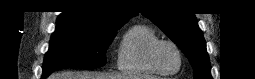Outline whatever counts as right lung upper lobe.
<instances>
[{
    "mask_svg": "<svg viewBox=\"0 0 255 79\" xmlns=\"http://www.w3.org/2000/svg\"><path fill=\"white\" fill-rule=\"evenodd\" d=\"M136 12L110 8L106 3L94 0L74 1L70 10L57 19V27H75L104 31H116Z\"/></svg>",
    "mask_w": 255,
    "mask_h": 79,
    "instance_id": "obj_1",
    "label": "right lung upper lobe"
}]
</instances>
